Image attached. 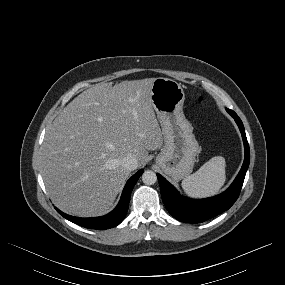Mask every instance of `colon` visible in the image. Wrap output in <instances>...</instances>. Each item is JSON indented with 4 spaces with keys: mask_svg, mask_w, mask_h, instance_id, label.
<instances>
[{
    "mask_svg": "<svg viewBox=\"0 0 285 285\" xmlns=\"http://www.w3.org/2000/svg\"><path fill=\"white\" fill-rule=\"evenodd\" d=\"M198 101H199V103H202L203 102V98L199 97Z\"/></svg>",
    "mask_w": 285,
    "mask_h": 285,
    "instance_id": "obj_1",
    "label": "colon"
}]
</instances>
